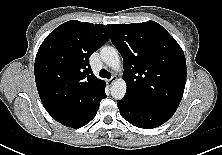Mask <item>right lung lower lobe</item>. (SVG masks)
Returning a JSON list of instances; mask_svg holds the SVG:
<instances>
[{"label":"right lung lower lobe","instance_id":"obj_1","mask_svg":"<svg viewBox=\"0 0 222 155\" xmlns=\"http://www.w3.org/2000/svg\"><path fill=\"white\" fill-rule=\"evenodd\" d=\"M105 92H103L99 98L95 101V103L74 116L62 118L58 120L61 124L71 127V128H80L89 123L96 115L99 109V103L103 98H106Z\"/></svg>","mask_w":222,"mask_h":155}]
</instances>
